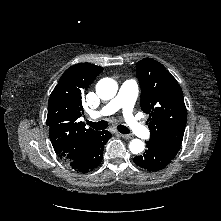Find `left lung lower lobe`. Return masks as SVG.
<instances>
[{
  "mask_svg": "<svg viewBox=\"0 0 221 221\" xmlns=\"http://www.w3.org/2000/svg\"><path fill=\"white\" fill-rule=\"evenodd\" d=\"M173 158L171 155L163 153L147 144V150L144 154L134 157L133 161L136 165L148 171H159L165 168Z\"/></svg>",
  "mask_w": 221,
  "mask_h": 221,
  "instance_id": "left-lung-lower-lobe-1",
  "label": "left lung lower lobe"
}]
</instances>
